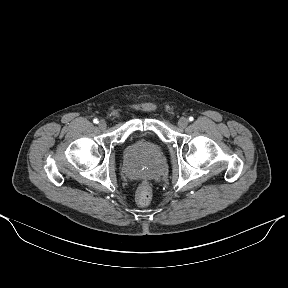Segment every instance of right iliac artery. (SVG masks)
I'll return each instance as SVG.
<instances>
[{"label":"right iliac artery","instance_id":"82829eb1","mask_svg":"<svg viewBox=\"0 0 288 288\" xmlns=\"http://www.w3.org/2000/svg\"><path fill=\"white\" fill-rule=\"evenodd\" d=\"M93 122H94L95 124H97V123H98V119L95 118V119L93 120Z\"/></svg>","mask_w":288,"mask_h":288}]
</instances>
